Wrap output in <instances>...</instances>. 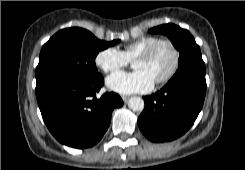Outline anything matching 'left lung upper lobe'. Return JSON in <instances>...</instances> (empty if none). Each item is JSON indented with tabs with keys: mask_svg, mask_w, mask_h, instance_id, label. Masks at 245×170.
I'll return each instance as SVG.
<instances>
[{
	"mask_svg": "<svg viewBox=\"0 0 245 170\" xmlns=\"http://www.w3.org/2000/svg\"><path fill=\"white\" fill-rule=\"evenodd\" d=\"M149 33L166 35L180 51L179 66L175 75L185 72L205 74L200 48L189 31L174 24H165L151 28Z\"/></svg>",
	"mask_w": 245,
	"mask_h": 170,
	"instance_id": "obj_1",
	"label": "left lung upper lobe"
}]
</instances>
